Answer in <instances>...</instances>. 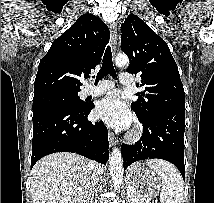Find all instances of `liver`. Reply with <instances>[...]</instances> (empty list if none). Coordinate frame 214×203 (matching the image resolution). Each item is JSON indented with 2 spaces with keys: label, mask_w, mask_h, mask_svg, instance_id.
<instances>
[{
  "label": "liver",
  "mask_w": 214,
  "mask_h": 203,
  "mask_svg": "<svg viewBox=\"0 0 214 203\" xmlns=\"http://www.w3.org/2000/svg\"><path fill=\"white\" fill-rule=\"evenodd\" d=\"M91 162L69 152L39 160L31 171L33 203H89L92 195Z\"/></svg>",
  "instance_id": "liver-1"
}]
</instances>
